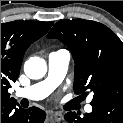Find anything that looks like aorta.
Listing matches in <instances>:
<instances>
[{
    "instance_id": "obj_1",
    "label": "aorta",
    "mask_w": 123,
    "mask_h": 123,
    "mask_svg": "<svg viewBox=\"0 0 123 123\" xmlns=\"http://www.w3.org/2000/svg\"><path fill=\"white\" fill-rule=\"evenodd\" d=\"M24 72L30 79H41L47 72V65L43 58L31 57L24 64Z\"/></svg>"
}]
</instances>
